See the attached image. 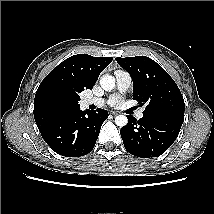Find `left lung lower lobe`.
<instances>
[{"mask_svg":"<svg viewBox=\"0 0 214 214\" xmlns=\"http://www.w3.org/2000/svg\"><path fill=\"white\" fill-rule=\"evenodd\" d=\"M128 124L120 131L125 149L141 158L158 157L176 140L182 121L145 116L138 121L127 116Z\"/></svg>","mask_w":214,"mask_h":214,"instance_id":"1","label":"left lung lower lobe"}]
</instances>
